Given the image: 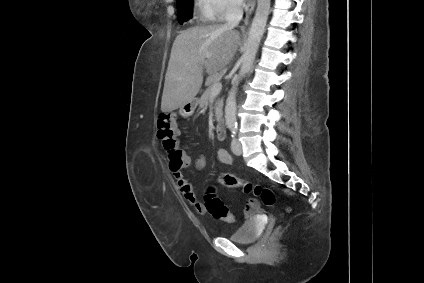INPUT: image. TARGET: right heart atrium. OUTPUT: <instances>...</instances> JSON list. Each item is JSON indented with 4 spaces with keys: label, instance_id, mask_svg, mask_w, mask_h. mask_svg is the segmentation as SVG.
Returning a JSON list of instances; mask_svg holds the SVG:
<instances>
[{
    "label": "right heart atrium",
    "instance_id": "1",
    "mask_svg": "<svg viewBox=\"0 0 424 283\" xmlns=\"http://www.w3.org/2000/svg\"><path fill=\"white\" fill-rule=\"evenodd\" d=\"M199 14L206 19H223L235 13L241 6L240 0H196Z\"/></svg>",
    "mask_w": 424,
    "mask_h": 283
}]
</instances>
